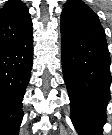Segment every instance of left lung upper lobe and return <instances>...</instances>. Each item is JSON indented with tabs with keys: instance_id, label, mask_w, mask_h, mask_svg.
Wrapping results in <instances>:
<instances>
[{
	"instance_id": "1",
	"label": "left lung upper lobe",
	"mask_w": 112,
	"mask_h": 135,
	"mask_svg": "<svg viewBox=\"0 0 112 135\" xmlns=\"http://www.w3.org/2000/svg\"><path fill=\"white\" fill-rule=\"evenodd\" d=\"M61 18L77 23L101 26L96 13L81 0L67 1L63 6Z\"/></svg>"
}]
</instances>
